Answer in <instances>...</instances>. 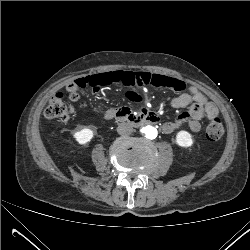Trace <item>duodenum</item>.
Returning a JSON list of instances; mask_svg holds the SVG:
<instances>
[{"mask_svg":"<svg viewBox=\"0 0 250 250\" xmlns=\"http://www.w3.org/2000/svg\"><path fill=\"white\" fill-rule=\"evenodd\" d=\"M127 115L131 119V115L126 113L124 109L121 108H108L105 110L103 117L105 120H112L114 118H118L120 116ZM132 121L140 124H156L159 119L153 112H147L144 114V117H136L135 119H131Z\"/></svg>","mask_w":250,"mask_h":250,"instance_id":"obj_1","label":"duodenum"}]
</instances>
